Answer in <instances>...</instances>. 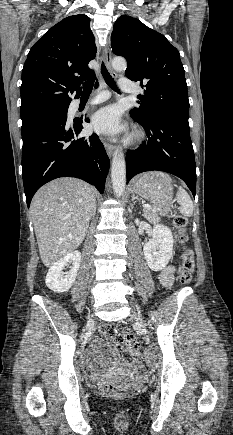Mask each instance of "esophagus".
<instances>
[{"label":"esophagus","mask_w":233,"mask_h":435,"mask_svg":"<svg viewBox=\"0 0 233 435\" xmlns=\"http://www.w3.org/2000/svg\"><path fill=\"white\" fill-rule=\"evenodd\" d=\"M103 57H104V61H105V65H106L107 69L109 70V72L111 73L112 76L116 77L117 74L111 66L112 55H111V49H110L109 44H107L103 49ZM104 146H105L107 155L109 157H111L113 154V151H114V146L112 144L107 143L106 141H104Z\"/></svg>","instance_id":"obj_1"}]
</instances>
